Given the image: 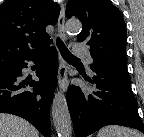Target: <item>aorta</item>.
<instances>
[{"mask_svg":"<svg viewBox=\"0 0 144 137\" xmlns=\"http://www.w3.org/2000/svg\"><path fill=\"white\" fill-rule=\"evenodd\" d=\"M68 33L77 34L82 30V24L79 20L71 19L66 22ZM52 118L58 137L72 136V121L69 113L67 100L63 92L55 93L52 102Z\"/></svg>","mask_w":144,"mask_h":137,"instance_id":"obj_1","label":"aorta"}]
</instances>
